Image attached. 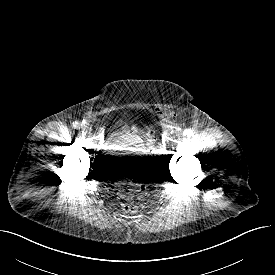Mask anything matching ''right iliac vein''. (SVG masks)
I'll return each instance as SVG.
<instances>
[{"instance_id":"1","label":"right iliac vein","mask_w":275,"mask_h":275,"mask_svg":"<svg viewBox=\"0 0 275 275\" xmlns=\"http://www.w3.org/2000/svg\"><path fill=\"white\" fill-rule=\"evenodd\" d=\"M82 129L84 131H90L91 130V127L89 125H83Z\"/></svg>"}]
</instances>
